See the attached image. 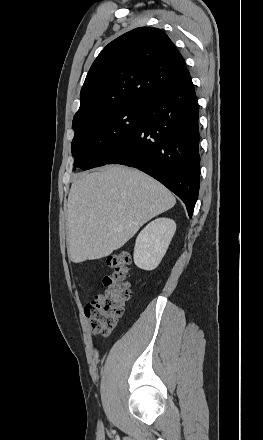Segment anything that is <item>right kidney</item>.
I'll return each instance as SVG.
<instances>
[{
  "label": "right kidney",
  "instance_id": "ca27d5eb",
  "mask_svg": "<svg viewBox=\"0 0 263 440\" xmlns=\"http://www.w3.org/2000/svg\"><path fill=\"white\" fill-rule=\"evenodd\" d=\"M176 231V223L169 218L150 222L138 235L134 247V263L143 270H153L161 262Z\"/></svg>",
  "mask_w": 263,
  "mask_h": 440
}]
</instances>
